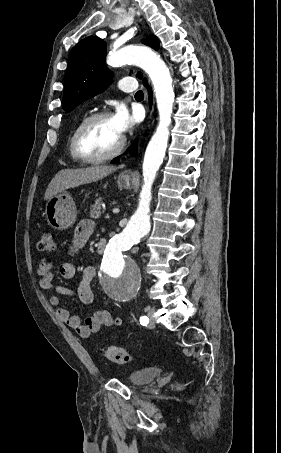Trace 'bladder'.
<instances>
[{
    "instance_id": "obj_1",
    "label": "bladder",
    "mask_w": 281,
    "mask_h": 453,
    "mask_svg": "<svg viewBox=\"0 0 281 453\" xmlns=\"http://www.w3.org/2000/svg\"><path fill=\"white\" fill-rule=\"evenodd\" d=\"M160 372L161 370L158 368H145L137 370L130 374L128 382L134 386L148 384L153 381L160 374Z\"/></svg>"
}]
</instances>
